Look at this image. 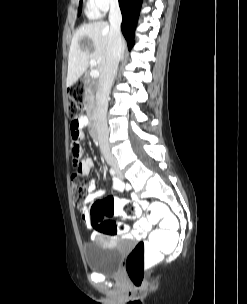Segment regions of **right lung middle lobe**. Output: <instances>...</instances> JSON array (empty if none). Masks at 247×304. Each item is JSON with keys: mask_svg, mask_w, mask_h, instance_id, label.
Wrapping results in <instances>:
<instances>
[{"mask_svg": "<svg viewBox=\"0 0 247 304\" xmlns=\"http://www.w3.org/2000/svg\"><path fill=\"white\" fill-rule=\"evenodd\" d=\"M82 9V0H80L79 9H78V15H80Z\"/></svg>", "mask_w": 247, "mask_h": 304, "instance_id": "dd1d6c3e", "label": "right lung middle lobe"}]
</instances>
